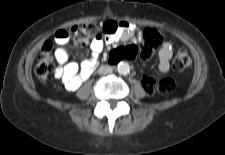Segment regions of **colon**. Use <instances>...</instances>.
Wrapping results in <instances>:
<instances>
[{"label": "colon", "mask_w": 225, "mask_h": 155, "mask_svg": "<svg viewBox=\"0 0 225 155\" xmlns=\"http://www.w3.org/2000/svg\"><path fill=\"white\" fill-rule=\"evenodd\" d=\"M72 36L71 41L77 48L85 47L99 32V26L94 22L75 25L67 29ZM162 41V34L154 28H146L142 33V41L139 44L115 46L107 56L110 63L115 64L124 58L134 59L137 56L144 60L152 57L155 50ZM52 43L46 42L40 52L35 67V73L41 82H46L54 69L52 56ZM191 63L190 56L185 48L178 47L173 59V68L176 71H183ZM143 87L150 94H167L174 90L175 83L172 79L165 78L156 80L151 77L143 78Z\"/></svg>", "instance_id": "colon-1"}]
</instances>
